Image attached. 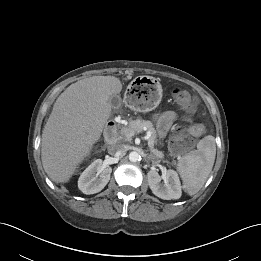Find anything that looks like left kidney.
<instances>
[{
  "label": "left kidney",
  "instance_id": "left-kidney-1",
  "mask_svg": "<svg viewBox=\"0 0 261 261\" xmlns=\"http://www.w3.org/2000/svg\"><path fill=\"white\" fill-rule=\"evenodd\" d=\"M147 179L153 194L164 200L179 199L181 197V183L179 176L174 170H167L161 176L157 171L147 173ZM164 181V184L161 183Z\"/></svg>",
  "mask_w": 261,
  "mask_h": 261
}]
</instances>
